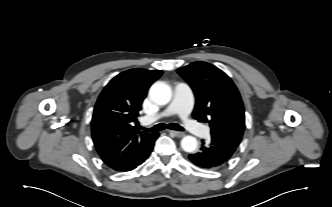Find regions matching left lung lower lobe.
<instances>
[{"label":"left lung lower lobe","instance_id":"obj_1","mask_svg":"<svg viewBox=\"0 0 332 207\" xmlns=\"http://www.w3.org/2000/svg\"><path fill=\"white\" fill-rule=\"evenodd\" d=\"M236 148L219 140L211 139L203 145L199 152L190 154V161L203 169H216L224 165L233 155Z\"/></svg>","mask_w":332,"mask_h":207}]
</instances>
